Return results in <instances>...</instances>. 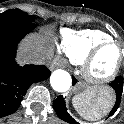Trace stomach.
I'll use <instances>...</instances> for the list:
<instances>
[{
	"mask_svg": "<svg viewBox=\"0 0 124 124\" xmlns=\"http://www.w3.org/2000/svg\"><path fill=\"white\" fill-rule=\"evenodd\" d=\"M76 95L83 97L92 96L94 99H96L99 96H106L109 97L111 101H113V95L111 91H109L108 89L106 88L95 89L83 83H79L76 86Z\"/></svg>",
	"mask_w": 124,
	"mask_h": 124,
	"instance_id": "1",
	"label": "stomach"
}]
</instances>
